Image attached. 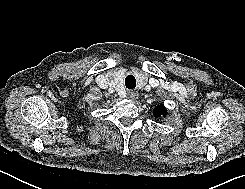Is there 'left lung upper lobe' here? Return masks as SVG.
<instances>
[{"mask_svg":"<svg viewBox=\"0 0 245 189\" xmlns=\"http://www.w3.org/2000/svg\"><path fill=\"white\" fill-rule=\"evenodd\" d=\"M167 115V111L165 110V107L163 106V104L158 105L155 109H154V116L156 118H158L159 116H166Z\"/></svg>","mask_w":245,"mask_h":189,"instance_id":"5c2ea615","label":"left lung upper lobe"}]
</instances>
